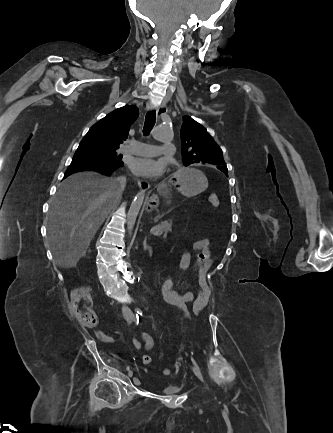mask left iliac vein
Segmentation results:
<instances>
[{"mask_svg":"<svg viewBox=\"0 0 333 433\" xmlns=\"http://www.w3.org/2000/svg\"><path fill=\"white\" fill-rule=\"evenodd\" d=\"M192 370H193V372H194V374L201 380V381H203L204 382V380H203V376H202V373H201V371L199 370V368L198 367H196V366H193L192 367Z\"/></svg>","mask_w":333,"mask_h":433,"instance_id":"obj_1","label":"left iliac vein"}]
</instances>
